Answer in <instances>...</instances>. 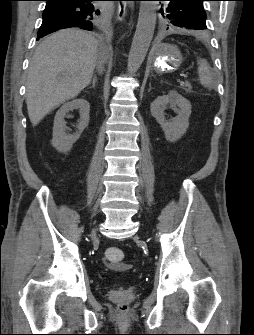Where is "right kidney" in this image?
Masks as SVG:
<instances>
[{"instance_id": "right-kidney-1", "label": "right kidney", "mask_w": 254, "mask_h": 335, "mask_svg": "<svg viewBox=\"0 0 254 335\" xmlns=\"http://www.w3.org/2000/svg\"><path fill=\"white\" fill-rule=\"evenodd\" d=\"M74 109L79 110L80 113V119L77 124L78 131L74 134H67L64 118L69 111ZM89 112L90 105L85 99H75L63 104L55 115L51 145L59 152H68L79 139L83 130L88 126L90 118Z\"/></svg>"}]
</instances>
